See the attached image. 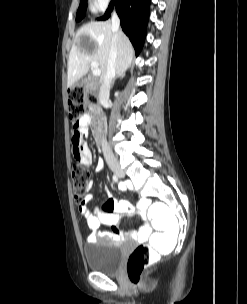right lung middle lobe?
<instances>
[{
  "instance_id": "1",
  "label": "right lung middle lobe",
  "mask_w": 247,
  "mask_h": 304,
  "mask_svg": "<svg viewBox=\"0 0 247 304\" xmlns=\"http://www.w3.org/2000/svg\"><path fill=\"white\" fill-rule=\"evenodd\" d=\"M87 8V0H81L77 14H76V22H79L85 17Z\"/></svg>"
}]
</instances>
